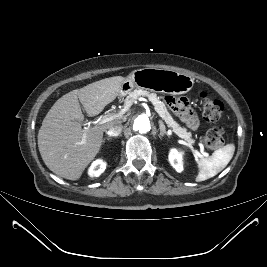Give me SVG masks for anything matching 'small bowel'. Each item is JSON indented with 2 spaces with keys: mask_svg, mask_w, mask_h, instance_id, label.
<instances>
[{
  "mask_svg": "<svg viewBox=\"0 0 267 267\" xmlns=\"http://www.w3.org/2000/svg\"><path fill=\"white\" fill-rule=\"evenodd\" d=\"M165 102L173 112L182 117L191 129L196 130L198 128L199 121L191 111L186 99L167 95L165 96Z\"/></svg>",
  "mask_w": 267,
  "mask_h": 267,
  "instance_id": "obj_1",
  "label": "small bowel"
}]
</instances>
